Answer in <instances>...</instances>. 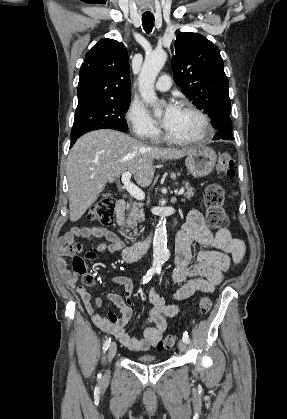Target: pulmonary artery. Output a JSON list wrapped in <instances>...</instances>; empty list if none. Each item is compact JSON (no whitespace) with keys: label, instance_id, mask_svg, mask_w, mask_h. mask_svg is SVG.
<instances>
[{"label":"pulmonary artery","instance_id":"e3ab8cb5","mask_svg":"<svg viewBox=\"0 0 287 419\" xmlns=\"http://www.w3.org/2000/svg\"><path fill=\"white\" fill-rule=\"evenodd\" d=\"M171 87V78L167 74H163L159 77V80L155 84V88L159 91H167Z\"/></svg>","mask_w":287,"mask_h":419}]
</instances>
